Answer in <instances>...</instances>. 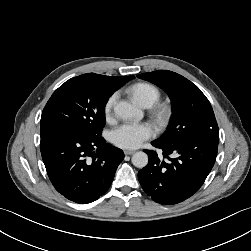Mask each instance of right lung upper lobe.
Masks as SVG:
<instances>
[{"instance_id": "right-lung-upper-lobe-1", "label": "right lung upper lobe", "mask_w": 251, "mask_h": 251, "mask_svg": "<svg viewBox=\"0 0 251 251\" xmlns=\"http://www.w3.org/2000/svg\"><path fill=\"white\" fill-rule=\"evenodd\" d=\"M84 75L92 76V77H95V78L101 80L113 92L118 90L120 87H122L124 84H126L131 79L135 78L134 76L115 77V76L99 75V74H95V73H89V74H84Z\"/></svg>"}]
</instances>
